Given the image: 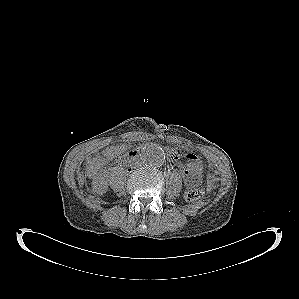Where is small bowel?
Returning a JSON list of instances; mask_svg holds the SVG:
<instances>
[{"label": "small bowel", "instance_id": "small-bowel-1", "mask_svg": "<svg viewBox=\"0 0 299 299\" xmlns=\"http://www.w3.org/2000/svg\"><path fill=\"white\" fill-rule=\"evenodd\" d=\"M123 151V148L121 146H110L104 151V156L106 159H114L118 155H120ZM181 173L182 177L184 179V182L187 186L192 187L196 186L200 183V179H197L193 176V174L188 169L187 165L181 166Z\"/></svg>", "mask_w": 299, "mask_h": 299}]
</instances>
